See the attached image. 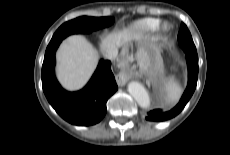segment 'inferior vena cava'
<instances>
[{"instance_id": "1", "label": "inferior vena cava", "mask_w": 230, "mask_h": 155, "mask_svg": "<svg viewBox=\"0 0 230 155\" xmlns=\"http://www.w3.org/2000/svg\"><path fill=\"white\" fill-rule=\"evenodd\" d=\"M117 55H118V49L117 48H111L104 54V56L109 60L115 59L117 57Z\"/></svg>"}]
</instances>
